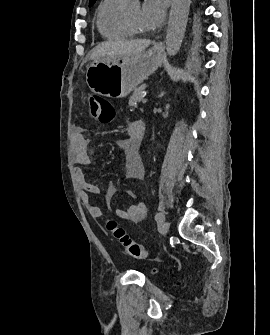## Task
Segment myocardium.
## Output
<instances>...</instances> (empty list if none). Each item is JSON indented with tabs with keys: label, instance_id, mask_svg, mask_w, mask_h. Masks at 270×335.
Returning <instances> with one entry per match:
<instances>
[{
	"label": "myocardium",
	"instance_id": "f54148a6",
	"mask_svg": "<svg viewBox=\"0 0 270 335\" xmlns=\"http://www.w3.org/2000/svg\"><path fill=\"white\" fill-rule=\"evenodd\" d=\"M123 22L126 25V27L131 31V33L133 34H138L139 31L135 30L132 25L130 24V22L128 21L127 17L125 15H123Z\"/></svg>",
	"mask_w": 270,
	"mask_h": 335
}]
</instances>
